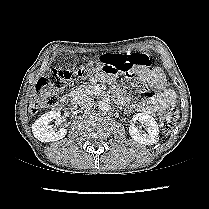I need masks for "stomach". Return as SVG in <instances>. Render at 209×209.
Returning <instances> with one entry per match:
<instances>
[{
	"mask_svg": "<svg viewBox=\"0 0 209 209\" xmlns=\"http://www.w3.org/2000/svg\"><path fill=\"white\" fill-rule=\"evenodd\" d=\"M70 73L78 79H85L89 75L87 64L80 59L74 60L69 67Z\"/></svg>",
	"mask_w": 209,
	"mask_h": 209,
	"instance_id": "stomach-1",
	"label": "stomach"
}]
</instances>
